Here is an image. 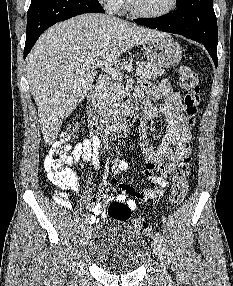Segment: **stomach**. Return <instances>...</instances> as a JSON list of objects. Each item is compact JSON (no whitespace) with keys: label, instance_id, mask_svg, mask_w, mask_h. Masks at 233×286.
Instances as JSON below:
<instances>
[{"label":"stomach","instance_id":"1","mask_svg":"<svg viewBox=\"0 0 233 286\" xmlns=\"http://www.w3.org/2000/svg\"><path fill=\"white\" fill-rule=\"evenodd\" d=\"M145 55L152 65L169 68L182 58L181 46L168 34L143 46Z\"/></svg>","mask_w":233,"mask_h":286}]
</instances>
